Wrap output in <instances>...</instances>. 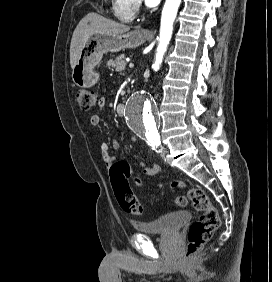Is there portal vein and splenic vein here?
<instances>
[{"mask_svg":"<svg viewBox=\"0 0 272 282\" xmlns=\"http://www.w3.org/2000/svg\"><path fill=\"white\" fill-rule=\"evenodd\" d=\"M134 64L133 63H129V68H133Z\"/></svg>","mask_w":272,"mask_h":282,"instance_id":"1","label":"portal vein and splenic vein"}]
</instances>
